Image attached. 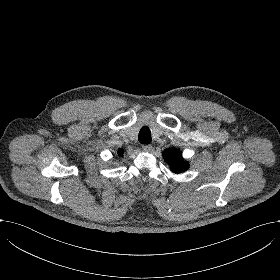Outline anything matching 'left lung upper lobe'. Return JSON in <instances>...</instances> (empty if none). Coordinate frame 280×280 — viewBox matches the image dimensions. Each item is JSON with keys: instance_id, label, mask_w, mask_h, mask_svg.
<instances>
[{"instance_id": "1", "label": "left lung upper lobe", "mask_w": 280, "mask_h": 280, "mask_svg": "<svg viewBox=\"0 0 280 280\" xmlns=\"http://www.w3.org/2000/svg\"><path fill=\"white\" fill-rule=\"evenodd\" d=\"M163 157L175 173L186 171L189 168V164L182 159V154L178 149H166Z\"/></svg>"}]
</instances>
